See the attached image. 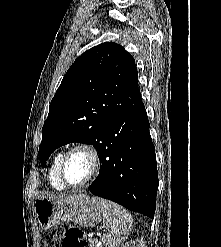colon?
<instances>
[{
    "mask_svg": "<svg viewBox=\"0 0 221 247\" xmlns=\"http://www.w3.org/2000/svg\"><path fill=\"white\" fill-rule=\"evenodd\" d=\"M45 247H87V242L84 232L71 226L62 235H55L46 241Z\"/></svg>",
    "mask_w": 221,
    "mask_h": 247,
    "instance_id": "5ec220e1",
    "label": "colon"
}]
</instances>
